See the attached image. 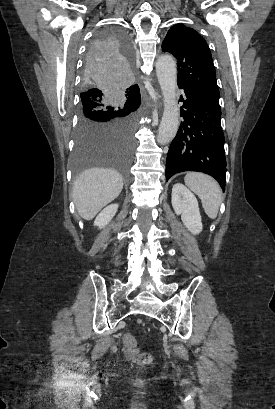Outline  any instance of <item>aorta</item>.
<instances>
[{
	"label": "aorta",
	"instance_id": "aorta-1",
	"mask_svg": "<svg viewBox=\"0 0 275 409\" xmlns=\"http://www.w3.org/2000/svg\"><path fill=\"white\" fill-rule=\"evenodd\" d=\"M156 74L164 100V110L158 128L157 142L159 144H168L176 136L179 126V108L176 102L177 68L172 54L158 56Z\"/></svg>",
	"mask_w": 275,
	"mask_h": 409
}]
</instances>
